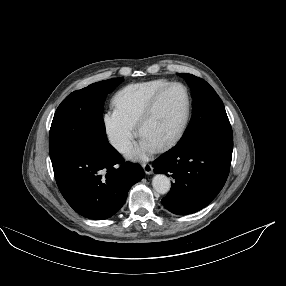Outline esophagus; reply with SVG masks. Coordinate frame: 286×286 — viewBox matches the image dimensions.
Here are the masks:
<instances>
[{"label": "esophagus", "instance_id": "esophagus-1", "mask_svg": "<svg viewBox=\"0 0 286 286\" xmlns=\"http://www.w3.org/2000/svg\"><path fill=\"white\" fill-rule=\"evenodd\" d=\"M142 167L146 174H153V166L150 163H144Z\"/></svg>", "mask_w": 286, "mask_h": 286}]
</instances>
